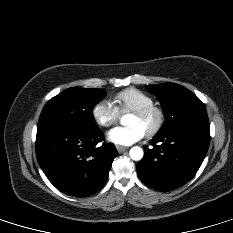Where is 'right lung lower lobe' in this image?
Instances as JSON below:
<instances>
[{
    "label": "right lung lower lobe",
    "mask_w": 233,
    "mask_h": 233,
    "mask_svg": "<svg viewBox=\"0 0 233 233\" xmlns=\"http://www.w3.org/2000/svg\"><path fill=\"white\" fill-rule=\"evenodd\" d=\"M103 137L99 128L63 122L38 125V163L58 190L69 196L88 197L104 186L117 156L113 144H98Z\"/></svg>",
    "instance_id": "1"
}]
</instances>
